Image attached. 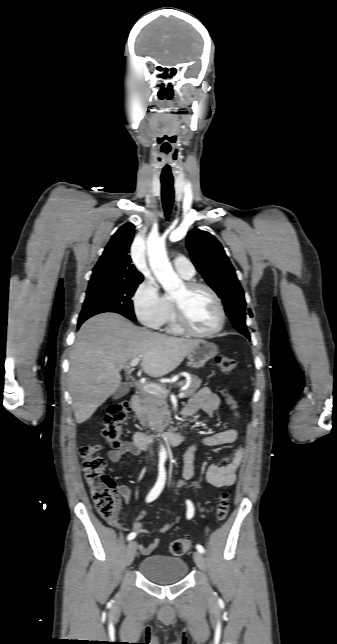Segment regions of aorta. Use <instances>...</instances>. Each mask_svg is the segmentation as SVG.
Returning <instances> with one entry per match:
<instances>
[{"mask_svg":"<svg viewBox=\"0 0 337 644\" xmlns=\"http://www.w3.org/2000/svg\"><path fill=\"white\" fill-rule=\"evenodd\" d=\"M147 255L151 270L156 279L168 294H174L183 287L182 280L174 272L168 259L164 241L155 234H151L147 240ZM159 455L167 457L166 449L161 446Z\"/></svg>","mask_w":337,"mask_h":644,"instance_id":"aorta-1","label":"aorta"}]
</instances>
